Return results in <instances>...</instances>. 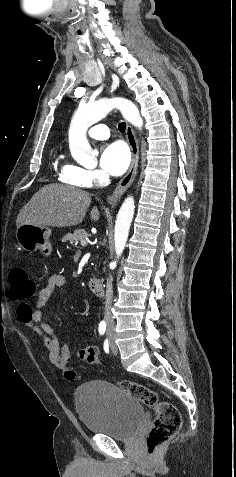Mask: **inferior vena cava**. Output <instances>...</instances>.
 Returning a JSON list of instances; mask_svg holds the SVG:
<instances>
[{
    "label": "inferior vena cava",
    "instance_id": "602c4592",
    "mask_svg": "<svg viewBox=\"0 0 236 477\" xmlns=\"http://www.w3.org/2000/svg\"><path fill=\"white\" fill-rule=\"evenodd\" d=\"M109 182H110L109 177L106 176L102 184L107 185ZM112 297H113L112 282H111V279L108 278L106 298H105V313H104V318L108 326H114V320L111 314Z\"/></svg>",
    "mask_w": 236,
    "mask_h": 477
}]
</instances>
